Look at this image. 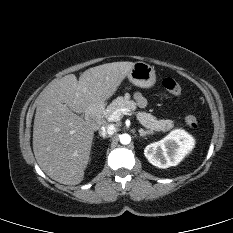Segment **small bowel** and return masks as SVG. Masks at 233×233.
<instances>
[{"mask_svg": "<svg viewBox=\"0 0 233 233\" xmlns=\"http://www.w3.org/2000/svg\"><path fill=\"white\" fill-rule=\"evenodd\" d=\"M134 98H135L136 102L138 103V105H140V106L145 105V99L143 98V96L140 93H135Z\"/></svg>", "mask_w": 233, "mask_h": 233, "instance_id": "obj_1", "label": "small bowel"}]
</instances>
